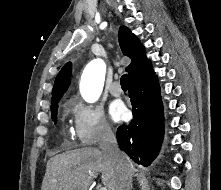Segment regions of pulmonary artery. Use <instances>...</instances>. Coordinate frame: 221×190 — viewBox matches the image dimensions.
<instances>
[{
    "instance_id": "pulmonary-artery-1",
    "label": "pulmonary artery",
    "mask_w": 221,
    "mask_h": 190,
    "mask_svg": "<svg viewBox=\"0 0 221 190\" xmlns=\"http://www.w3.org/2000/svg\"><path fill=\"white\" fill-rule=\"evenodd\" d=\"M109 91L113 96H120L122 93L121 86L118 82H113L110 84Z\"/></svg>"
}]
</instances>
